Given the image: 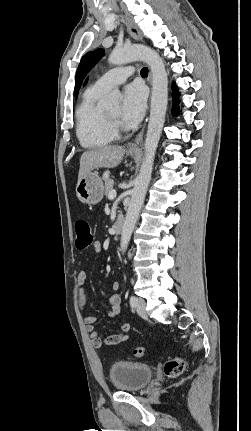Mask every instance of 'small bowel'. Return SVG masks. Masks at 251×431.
<instances>
[{
	"instance_id": "1",
	"label": "small bowel",
	"mask_w": 251,
	"mask_h": 431,
	"mask_svg": "<svg viewBox=\"0 0 251 431\" xmlns=\"http://www.w3.org/2000/svg\"><path fill=\"white\" fill-rule=\"evenodd\" d=\"M95 251L97 253L102 251V247L99 243L95 245ZM87 274L84 270H80L77 274V285H78V306L81 310H85L87 307V297L85 294V290L83 288L84 283L86 281ZM119 283L117 281L113 282L112 289L117 291L119 289ZM121 296L118 294H113L109 300V308L107 310V314L111 318H115L119 316L121 312ZM86 324V330L91 339V343L94 348H101L103 345H119L124 343L129 339V330L131 328L130 323L128 322H119V332L113 333L109 335H100L95 329L96 318L93 316H86L84 318Z\"/></svg>"
}]
</instances>
